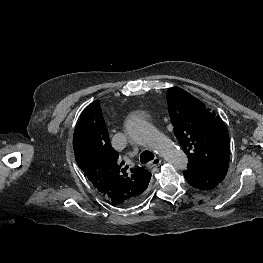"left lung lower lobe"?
I'll return each mask as SVG.
<instances>
[{
    "label": "left lung lower lobe",
    "instance_id": "0a47b994",
    "mask_svg": "<svg viewBox=\"0 0 263 263\" xmlns=\"http://www.w3.org/2000/svg\"><path fill=\"white\" fill-rule=\"evenodd\" d=\"M228 168H196L188 167L184 171L186 181L194 188L210 190L216 187L226 176Z\"/></svg>",
    "mask_w": 263,
    "mask_h": 263
}]
</instances>
